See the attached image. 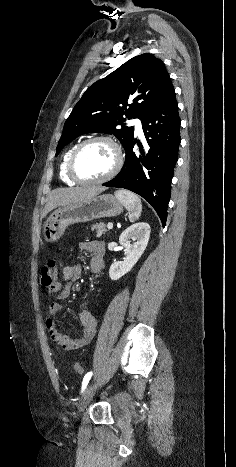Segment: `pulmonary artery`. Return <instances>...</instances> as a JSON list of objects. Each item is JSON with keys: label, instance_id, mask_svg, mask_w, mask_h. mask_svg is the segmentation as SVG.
<instances>
[{"label": "pulmonary artery", "instance_id": "e3ab8cb5", "mask_svg": "<svg viewBox=\"0 0 236 467\" xmlns=\"http://www.w3.org/2000/svg\"><path fill=\"white\" fill-rule=\"evenodd\" d=\"M132 124L135 127V131L137 134L141 135L142 134V124L139 119H134L132 120Z\"/></svg>", "mask_w": 236, "mask_h": 467}]
</instances>
